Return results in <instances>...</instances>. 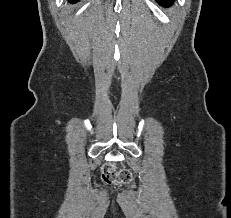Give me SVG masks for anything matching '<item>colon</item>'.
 <instances>
[{
	"mask_svg": "<svg viewBox=\"0 0 231 218\" xmlns=\"http://www.w3.org/2000/svg\"><path fill=\"white\" fill-rule=\"evenodd\" d=\"M101 177L106 184H127L132 180L128 169H117L113 163H105L102 166Z\"/></svg>",
	"mask_w": 231,
	"mask_h": 218,
	"instance_id": "colon-1",
	"label": "colon"
}]
</instances>
